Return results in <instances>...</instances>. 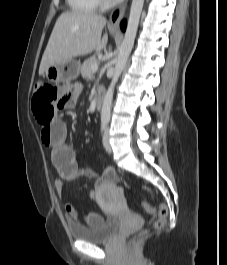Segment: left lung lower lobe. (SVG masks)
<instances>
[{
	"label": "left lung lower lobe",
	"instance_id": "left-lung-lower-lobe-1",
	"mask_svg": "<svg viewBox=\"0 0 227 265\" xmlns=\"http://www.w3.org/2000/svg\"><path fill=\"white\" fill-rule=\"evenodd\" d=\"M125 28H126V23H125V21H123V22L121 23V29L124 31Z\"/></svg>",
	"mask_w": 227,
	"mask_h": 265
}]
</instances>
